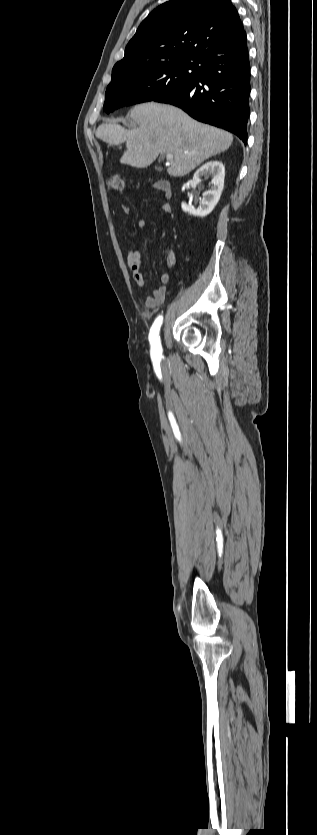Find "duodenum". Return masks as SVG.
I'll return each mask as SVG.
<instances>
[{
	"label": "duodenum",
	"instance_id": "duodenum-1",
	"mask_svg": "<svg viewBox=\"0 0 317 835\" xmlns=\"http://www.w3.org/2000/svg\"><path fill=\"white\" fill-rule=\"evenodd\" d=\"M160 185H161V189H163L164 191H166V192L168 193V195L171 197V187H170V184H169L168 182L161 181V182H160Z\"/></svg>",
	"mask_w": 317,
	"mask_h": 835
}]
</instances>
